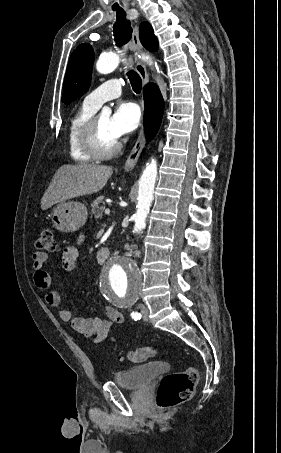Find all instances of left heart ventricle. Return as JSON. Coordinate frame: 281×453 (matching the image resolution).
<instances>
[{"mask_svg": "<svg viewBox=\"0 0 281 453\" xmlns=\"http://www.w3.org/2000/svg\"><path fill=\"white\" fill-rule=\"evenodd\" d=\"M110 115H100L99 118V131L101 136V143L104 148H110L117 138L112 134L110 129Z\"/></svg>", "mask_w": 281, "mask_h": 453, "instance_id": "obj_1", "label": "left heart ventricle"}]
</instances>
